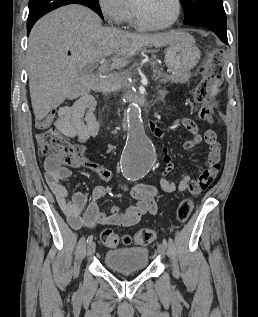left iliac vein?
I'll return each instance as SVG.
<instances>
[{
	"instance_id": "1",
	"label": "left iliac vein",
	"mask_w": 258,
	"mask_h": 317,
	"mask_svg": "<svg viewBox=\"0 0 258 317\" xmlns=\"http://www.w3.org/2000/svg\"><path fill=\"white\" fill-rule=\"evenodd\" d=\"M157 251L162 256L166 254L167 251H166V247H165L164 243H159V245L157 247ZM162 258L164 259L165 257L163 256Z\"/></svg>"
}]
</instances>
